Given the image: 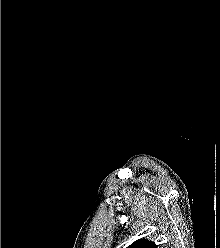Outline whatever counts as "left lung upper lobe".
<instances>
[{"mask_svg": "<svg viewBox=\"0 0 220 248\" xmlns=\"http://www.w3.org/2000/svg\"><path fill=\"white\" fill-rule=\"evenodd\" d=\"M127 248H157V245L146 239H139L129 245Z\"/></svg>", "mask_w": 220, "mask_h": 248, "instance_id": "left-lung-upper-lobe-1", "label": "left lung upper lobe"}]
</instances>
